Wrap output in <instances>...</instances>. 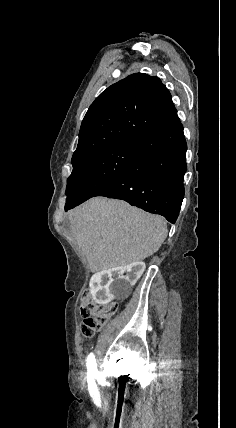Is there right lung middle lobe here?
I'll return each instance as SVG.
<instances>
[{"instance_id":"right-lung-middle-lobe-1","label":"right lung middle lobe","mask_w":236,"mask_h":428,"mask_svg":"<svg viewBox=\"0 0 236 428\" xmlns=\"http://www.w3.org/2000/svg\"><path fill=\"white\" fill-rule=\"evenodd\" d=\"M138 147V140H126L73 163L67 179L65 211L107 187L128 166Z\"/></svg>"}]
</instances>
